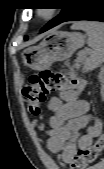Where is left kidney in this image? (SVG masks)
Returning <instances> with one entry per match:
<instances>
[{
  "mask_svg": "<svg viewBox=\"0 0 104 169\" xmlns=\"http://www.w3.org/2000/svg\"><path fill=\"white\" fill-rule=\"evenodd\" d=\"M100 78H101V80H103V74L102 73L100 74Z\"/></svg>",
  "mask_w": 104,
  "mask_h": 169,
  "instance_id": "left-kidney-1",
  "label": "left kidney"
}]
</instances>
